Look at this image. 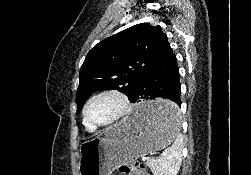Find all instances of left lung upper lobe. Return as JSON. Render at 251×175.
<instances>
[{"mask_svg": "<svg viewBox=\"0 0 251 175\" xmlns=\"http://www.w3.org/2000/svg\"><path fill=\"white\" fill-rule=\"evenodd\" d=\"M168 43L160 26L142 23L127 28L95 45L87 54L77 89V114L86 99L99 90L117 89L129 100L148 69Z\"/></svg>", "mask_w": 251, "mask_h": 175, "instance_id": "5c2ea615", "label": "left lung upper lobe"}]
</instances>
